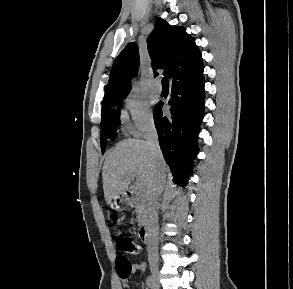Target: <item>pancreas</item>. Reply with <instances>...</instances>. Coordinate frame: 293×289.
<instances>
[{"instance_id": "pancreas-1", "label": "pancreas", "mask_w": 293, "mask_h": 289, "mask_svg": "<svg viewBox=\"0 0 293 289\" xmlns=\"http://www.w3.org/2000/svg\"><path fill=\"white\" fill-rule=\"evenodd\" d=\"M135 202V213L137 214V220L139 226L142 225L146 217V203L141 198L134 199Z\"/></svg>"}]
</instances>
